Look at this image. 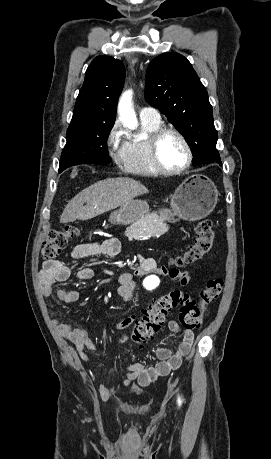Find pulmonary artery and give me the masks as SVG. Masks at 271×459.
I'll return each instance as SVG.
<instances>
[{"label": "pulmonary artery", "instance_id": "e3ab8cb5", "mask_svg": "<svg viewBox=\"0 0 271 459\" xmlns=\"http://www.w3.org/2000/svg\"><path fill=\"white\" fill-rule=\"evenodd\" d=\"M139 116L141 120H146L153 123H159L161 120L159 112L152 107L141 108L139 111Z\"/></svg>", "mask_w": 271, "mask_h": 459}]
</instances>
